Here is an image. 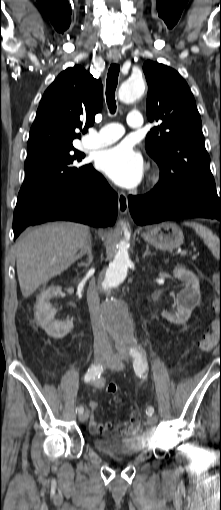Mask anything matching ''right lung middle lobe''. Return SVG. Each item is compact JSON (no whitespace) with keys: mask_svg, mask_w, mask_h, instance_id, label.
<instances>
[{"mask_svg":"<svg viewBox=\"0 0 221 510\" xmlns=\"http://www.w3.org/2000/svg\"><path fill=\"white\" fill-rule=\"evenodd\" d=\"M84 157L73 146L42 148L28 153L24 165L26 176L14 216H23L26 209L43 196L75 183L88 168L89 164L80 163Z\"/></svg>","mask_w":221,"mask_h":510,"instance_id":"right-lung-middle-lobe-1","label":"right lung middle lobe"}]
</instances>
